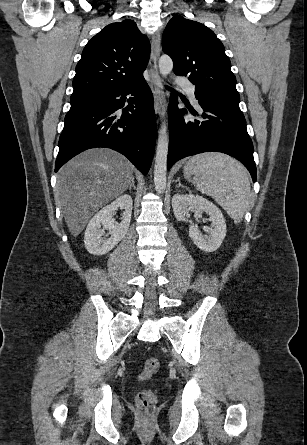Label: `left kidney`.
<instances>
[{"instance_id":"5707ae66","label":"left kidney","mask_w":307,"mask_h":445,"mask_svg":"<svg viewBox=\"0 0 307 445\" xmlns=\"http://www.w3.org/2000/svg\"><path fill=\"white\" fill-rule=\"evenodd\" d=\"M172 208L177 220H186V216H189V210L210 214L213 229H207L208 237H203L201 231L194 225L189 227V237L198 249H201L204 253H213V251L219 249L226 235V223L218 206H215L207 198L198 196V194H174Z\"/></svg>"}]
</instances>
